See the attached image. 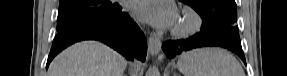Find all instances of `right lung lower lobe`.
<instances>
[{
    "label": "right lung lower lobe",
    "instance_id": "right-lung-lower-lobe-1",
    "mask_svg": "<svg viewBox=\"0 0 287 76\" xmlns=\"http://www.w3.org/2000/svg\"><path fill=\"white\" fill-rule=\"evenodd\" d=\"M88 39L99 40L107 44L128 60L137 58L145 61L147 53L145 36L128 14L121 12L109 19L78 24L59 32L53 41L46 68L53 58L67 46Z\"/></svg>",
    "mask_w": 287,
    "mask_h": 76
}]
</instances>
